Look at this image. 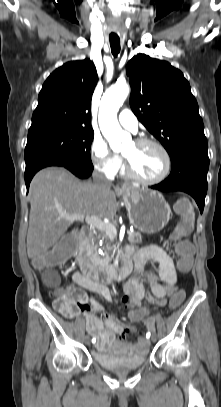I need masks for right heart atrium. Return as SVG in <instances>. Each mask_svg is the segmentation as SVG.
I'll use <instances>...</instances> for the list:
<instances>
[{"label": "right heart atrium", "instance_id": "right-heart-atrium-1", "mask_svg": "<svg viewBox=\"0 0 221 407\" xmlns=\"http://www.w3.org/2000/svg\"><path fill=\"white\" fill-rule=\"evenodd\" d=\"M91 160L95 169L107 177L115 176L122 166V158L113 153L101 138L92 142Z\"/></svg>", "mask_w": 221, "mask_h": 407}]
</instances>
